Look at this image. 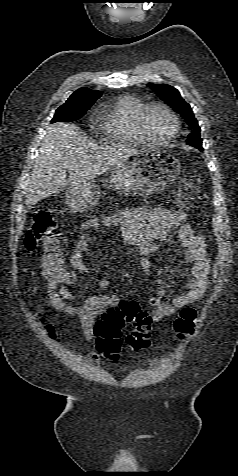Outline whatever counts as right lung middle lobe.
Listing matches in <instances>:
<instances>
[{
	"label": "right lung middle lobe",
	"mask_w": 238,
	"mask_h": 476,
	"mask_svg": "<svg viewBox=\"0 0 238 476\" xmlns=\"http://www.w3.org/2000/svg\"><path fill=\"white\" fill-rule=\"evenodd\" d=\"M91 105L75 104L66 102L61 105L55 112L52 122H71L82 117Z\"/></svg>",
	"instance_id": "1"
}]
</instances>
